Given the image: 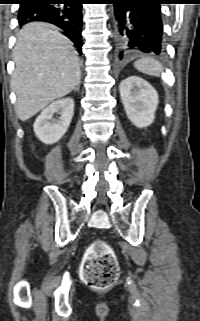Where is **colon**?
I'll use <instances>...</instances> for the list:
<instances>
[{
    "label": "colon",
    "instance_id": "1",
    "mask_svg": "<svg viewBox=\"0 0 200 321\" xmlns=\"http://www.w3.org/2000/svg\"><path fill=\"white\" fill-rule=\"evenodd\" d=\"M118 274V263L111 247L104 241H95L88 248L81 269L85 283L96 289H105L115 282Z\"/></svg>",
    "mask_w": 200,
    "mask_h": 321
}]
</instances>
